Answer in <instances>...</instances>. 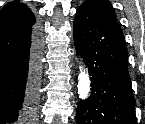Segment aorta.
<instances>
[{"label": "aorta", "mask_w": 145, "mask_h": 124, "mask_svg": "<svg viewBox=\"0 0 145 124\" xmlns=\"http://www.w3.org/2000/svg\"><path fill=\"white\" fill-rule=\"evenodd\" d=\"M78 96L80 99L85 100L90 95L91 81L87 70L80 63L78 75Z\"/></svg>", "instance_id": "obj_1"}]
</instances>
